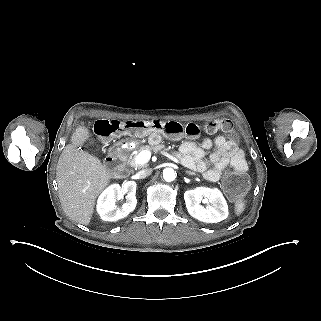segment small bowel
<instances>
[{"label": "small bowel", "mask_w": 321, "mask_h": 321, "mask_svg": "<svg viewBox=\"0 0 321 321\" xmlns=\"http://www.w3.org/2000/svg\"><path fill=\"white\" fill-rule=\"evenodd\" d=\"M151 140L157 142L159 137L153 134ZM213 146L215 151L205 159V152ZM179 152V157L186 167L203 173L204 177L212 182L218 181L228 166L243 171L247 168L242 151L225 135H219L214 140L205 138L200 144L184 141Z\"/></svg>", "instance_id": "1"}]
</instances>
